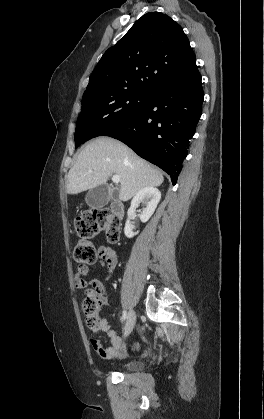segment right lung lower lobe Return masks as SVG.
<instances>
[{"mask_svg":"<svg viewBox=\"0 0 264 419\" xmlns=\"http://www.w3.org/2000/svg\"><path fill=\"white\" fill-rule=\"evenodd\" d=\"M201 75L153 89L133 115L103 133L128 145L139 156L171 175L176 184L189 142L201 117Z\"/></svg>","mask_w":264,"mask_h":419,"instance_id":"right-lung-lower-lobe-1","label":"right lung lower lobe"}]
</instances>
